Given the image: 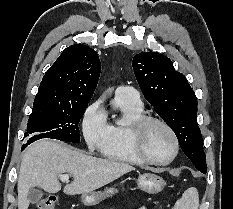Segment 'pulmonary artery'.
I'll return each instance as SVG.
<instances>
[{
	"instance_id": "e3ab8cb5",
	"label": "pulmonary artery",
	"mask_w": 233,
	"mask_h": 209,
	"mask_svg": "<svg viewBox=\"0 0 233 209\" xmlns=\"http://www.w3.org/2000/svg\"><path fill=\"white\" fill-rule=\"evenodd\" d=\"M116 97L127 100L134 104H140L141 99L138 91L131 86H120L116 89Z\"/></svg>"
}]
</instances>
